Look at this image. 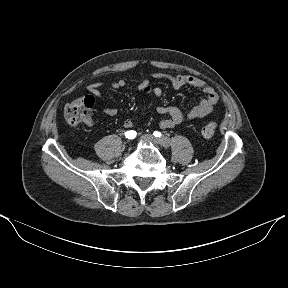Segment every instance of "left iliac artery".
<instances>
[{
	"instance_id": "obj_1",
	"label": "left iliac artery",
	"mask_w": 288,
	"mask_h": 288,
	"mask_svg": "<svg viewBox=\"0 0 288 288\" xmlns=\"http://www.w3.org/2000/svg\"><path fill=\"white\" fill-rule=\"evenodd\" d=\"M153 135L155 136V137H161V133L159 132V131H154L153 132Z\"/></svg>"
}]
</instances>
